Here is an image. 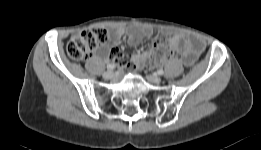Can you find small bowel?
Returning a JSON list of instances; mask_svg holds the SVG:
<instances>
[{
	"instance_id": "small-bowel-1",
	"label": "small bowel",
	"mask_w": 261,
	"mask_h": 150,
	"mask_svg": "<svg viewBox=\"0 0 261 150\" xmlns=\"http://www.w3.org/2000/svg\"><path fill=\"white\" fill-rule=\"evenodd\" d=\"M127 32V42L131 46H137L144 38H150L154 34V29L150 26H131L127 31L123 27L112 30L109 44H117L122 36ZM169 44L174 49H182L184 52V62L189 65L203 51V44L193 38H187L180 34H175L168 39ZM109 44L103 45L99 49V54L114 58L121 66L131 69L132 74H137L141 68V63L146 58V53L137 52L131 55L121 53L118 49L110 48Z\"/></svg>"
}]
</instances>
